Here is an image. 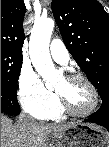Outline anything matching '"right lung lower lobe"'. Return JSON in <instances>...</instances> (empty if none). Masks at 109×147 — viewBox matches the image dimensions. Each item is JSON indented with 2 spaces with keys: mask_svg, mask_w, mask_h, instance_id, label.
<instances>
[{
  "mask_svg": "<svg viewBox=\"0 0 109 147\" xmlns=\"http://www.w3.org/2000/svg\"><path fill=\"white\" fill-rule=\"evenodd\" d=\"M1 113L6 115H18L20 113L17 98L3 91H1Z\"/></svg>",
  "mask_w": 109,
  "mask_h": 147,
  "instance_id": "1",
  "label": "right lung lower lobe"
}]
</instances>
